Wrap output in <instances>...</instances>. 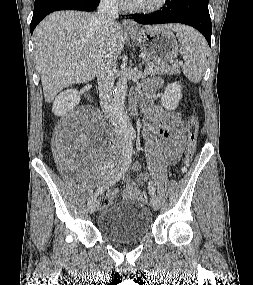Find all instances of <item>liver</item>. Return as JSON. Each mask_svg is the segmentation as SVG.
I'll return each instance as SVG.
<instances>
[{"label": "liver", "instance_id": "6515ba94", "mask_svg": "<svg viewBox=\"0 0 253 285\" xmlns=\"http://www.w3.org/2000/svg\"><path fill=\"white\" fill-rule=\"evenodd\" d=\"M93 19L92 13L57 11L36 27L33 38L36 68L48 103L62 89L95 77L99 51L106 39ZM145 27L177 31L182 25ZM107 42L117 58L125 42V33L118 23L112 26Z\"/></svg>", "mask_w": 253, "mask_h": 285}]
</instances>
